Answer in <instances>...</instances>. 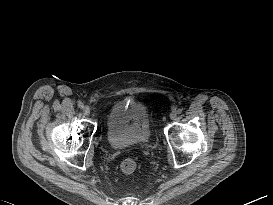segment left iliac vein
Instances as JSON below:
<instances>
[{
  "label": "left iliac vein",
  "mask_w": 273,
  "mask_h": 205,
  "mask_svg": "<svg viewBox=\"0 0 273 205\" xmlns=\"http://www.w3.org/2000/svg\"><path fill=\"white\" fill-rule=\"evenodd\" d=\"M170 118H171L172 120H175V119L177 118L176 112H171V113H170Z\"/></svg>",
  "instance_id": "4c4485c4"
}]
</instances>
